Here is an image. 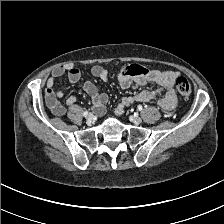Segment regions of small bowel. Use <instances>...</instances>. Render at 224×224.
Masks as SVG:
<instances>
[{"label": "small bowel", "instance_id": "1", "mask_svg": "<svg viewBox=\"0 0 224 224\" xmlns=\"http://www.w3.org/2000/svg\"><path fill=\"white\" fill-rule=\"evenodd\" d=\"M91 74L102 80H108V72L100 65H94L90 70ZM67 73L68 80L71 83H77L81 79V72L78 68L71 65L60 66L53 70L52 75L48 78L45 89L46 103L51 112L56 116H62L65 114V107L59 102L62 97L61 92L54 90L56 78H59ZM178 74L174 71H158L153 70L143 76L130 77L125 73H121L118 78L119 85L123 89L136 88L145 86L150 83L159 85V89H144L133 96L124 97L116 109V113L120 115L123 109L135 102H149L156 95L163 94L159 100L158 105L166 111H171L177 106V95L174 90L175 80ZM82 89L90 96L93 102L94 111L97 115H102L105 110V104L108 100V96L105 93H101L97 86L90 81H85L80 84ZM76 101L75 96H69L67 98V104L72 105Z\"/></svg>", "mask_w": 224, "mask_h": 224}]
</instances>
